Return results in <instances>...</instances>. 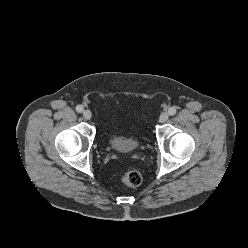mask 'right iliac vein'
<instances>
[{"mask_svg": "<svg viewBox=\"0 0 248 248\" xmlns=\"http://www.w3.org/2000/svg\"><path fill=\"white\" fill-rule=\"evenodd\" d=\"M83 117L87 120H90L92 118V113L90 110H84Z\"/></svg>", "mask_w": 248, "mask_h": 248, "instance_id": "1", "label": "right iliac vein"}]
</instances>
